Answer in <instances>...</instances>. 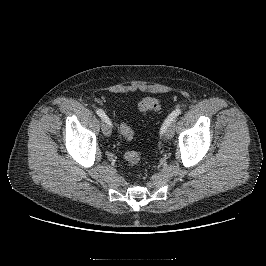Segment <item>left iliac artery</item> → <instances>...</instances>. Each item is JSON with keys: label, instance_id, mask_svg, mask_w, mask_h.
Instances as JSON below:
<instances>
[{"label": "left iliac artery", "instance_id": "obj_1", "mask_svg": "<svg viewBox=\"0 0 266 266\" xmlns=\"http://www.w3.org/2000/svg\"><path fill=\"white\" fill-rule=\"evenodd\" d=\"M182 113L181 109H176L174 110L168 117L167 119L164 121L162 127H161V131L160 134H163L167 127Z\"/></svg>", "mask_w": 266, "mask_h": 266}]
</instances>
